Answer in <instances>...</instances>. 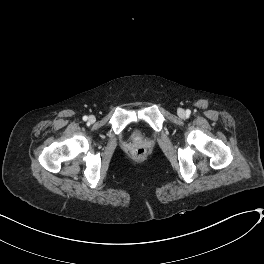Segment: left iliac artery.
<instances>
[{
	"label": "left iliac artery",
	"mask_w": 264,
	"mask_h": 264,
	"mask_svg": "<svg viewBox=\"0 0 264 264\" xmlns=\"http://www.w3.org/2000/svg\"><path fill=\"white\" fill-rule=\"evenodd\" d=\"M190 113H191L190 110H187V111H186V114H187V115H190Z\"/></svg>",
	"instance_id": "left-iliac-artery-1"
}]
</instances>
